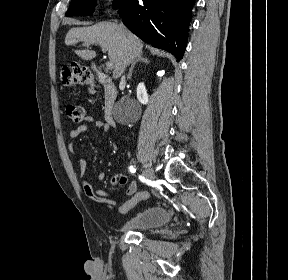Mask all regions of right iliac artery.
<instances>
[{
    "label": "right iliac artery",
    "mask_w": 288,
    "mask_h": 280,
    "mask_svg": "<svg viewBox=\"0 0 288 280\" xmlns=\"http://www.w3.org/2000/svg\"><path fill=\"white\" fill-rule=\"evenodd\" d=\"M130 172L135 173L136 172V168L134 166H130Z\"/></svg>",
    "instance_id": "82829eb1"
}]
</instances>
